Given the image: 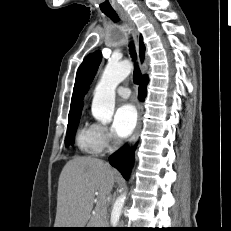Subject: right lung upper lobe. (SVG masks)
<instances>
[{
  "mask_svg": "<svg viewBox=\"0 0 231 231\" xmlns=\"http://www.w3.org/2000/svg\"><path fill=\"white\" fill-rule=\"evenodd\" d=\"M144 54H145V46L143 44L142 37H140V59L141 61L144 60ZM89 56H87L83 63L78 68L77 74H76V80L75 85L73 88V95L71 99V108L69 112V116L73 117L76 115H80L82 107H83V83L85 78V70L88 63ZM145 77V76H144Z\"/></svg>",
  "mask_w": 231,
  "mask_h": 231,
  "instance_id": "1",
  "label": "right lung upper lobe"
}]
</instances>
